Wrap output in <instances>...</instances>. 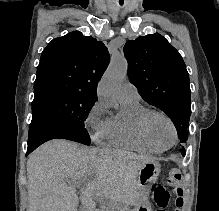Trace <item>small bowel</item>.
Listing matches in <instances>:
<instances>
[{"label": "small bowel", "instance_id": "c3829d8e", "mask_svg": "<svg viewBox=\"0 0 219 211\" xmlns=\"http://www.w3.org/2000/svg\"><path fill=\"white\" fill-rule=\"evenodd\" d=\"M169 201L168 192L160 189L156 192V202L160 208H165Z\"/></svg>", "mask_w": 219, "mask_h": 211}]
</instances>
